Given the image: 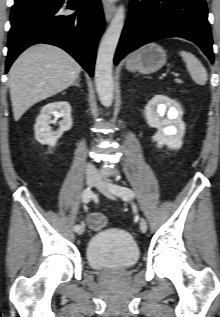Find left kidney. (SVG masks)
Listing matches in <instances>:
<instances>
[{"instance_id": "5707ae66", "label": "left kidney", "mask_w": 220, "mask_h": 317, "mask_svg": "<svg viewBox=\"0 0 220 317\" xmlns=\"http://www.w3.org/2000/svg\"><path fill=\"white\" fill-rule=\"evenodd\" d=\"M166 109L167 116L164 117ZM145 116L150 127L156 128L153 140L158 147L167 145L170 149L181 148L185 125L181 110L176 103L164 95H155L145 107Z\"/></svg>"}]
</instances>
